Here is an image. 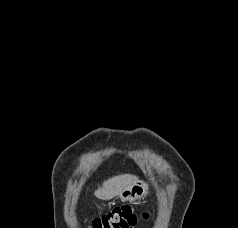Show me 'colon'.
I'll use <instances>...</instances> for the list:
<instances>
[{
  "instance_id": "colon-1",
  "label": "colon",
  "mask_w": 238,
  "mask_h": 228,
  "mask_svg": "<svg viewBox=\"0 0 238 228\" xmlns=\"http://www.w3.org/2000/svg\"><path fill=\"white\" fill-rule=\"evenodd\" d=\"M138 220L139 215L133 207L121 205L93 218L86 228H136Z\"/></svg>"
}]
</instances>
